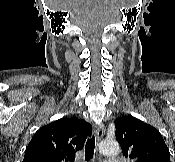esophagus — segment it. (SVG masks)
Wrapping results in <instances>:
<instances>
[{
	"label": "esophagus",
	"mask_w": 175,
	"mask_h": 162,
	"mask_svg": "<svg viewBox=\"0 0 175 162\" xmlns=\"http://www.w3.org/2000/svg\"><path fill=\"white\" fill-rule=\"evenodd\" d=\"M105 133V127L102 123L98 124L95 129L97 142H100Z\"/></svg>",
	"instance_id": "34e87169"
}]
</instances>
